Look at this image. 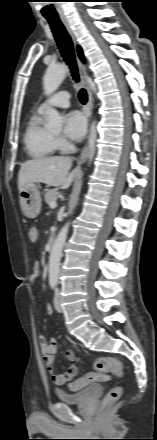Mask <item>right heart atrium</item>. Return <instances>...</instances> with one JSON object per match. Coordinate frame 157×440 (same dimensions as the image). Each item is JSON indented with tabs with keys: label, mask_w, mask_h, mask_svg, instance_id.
I'll list each match as a JSON object with an SVG mask.
<instances>
[{
	"label": "right heart atrium",
	"mask_w": 157,
	"mask_h": 440,
	"mask_svg": "<svg viewBox=\"0 0 157 440\" xmlns=\"http://www.w3.org/2000/svg\"><path fill=\"white\" fill-rule=\"evenodd\" d=\"M55 142H56V145H58V146H64L65 145V142L62 139H60V138H56Z\"/></svg>",
	"instance_id": "obj_1"
}]
</instances>
